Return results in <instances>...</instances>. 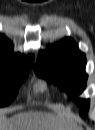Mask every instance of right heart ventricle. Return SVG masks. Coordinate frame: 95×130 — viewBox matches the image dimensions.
I'll use <instances>...</instances> for the list:
<instances>
[{
  "instance_id": "1",
  "label": "right heart ventricle",
  "mask_w": 95,
  "mask_h": 130,
  "mask_svg": "<svg viewBox=\"0 0 95 130\" xmlns=\"http://www.w3.org/2000/svg\"><path fill=\"white\" fill-rule=\"evenodd\" d=\"M37 90H38V91H43V90H44V85H43V84H39V85L37 86Z\"/></svg>"
}]
</instances>
